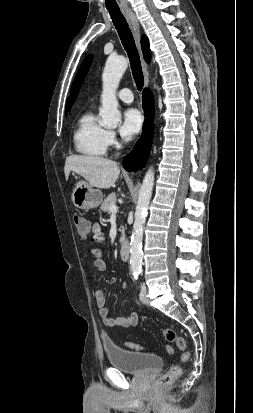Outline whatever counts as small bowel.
<instances>
[{"instance_id": "obj_1", "label": "small bowel", "mask_w": 253, "mask_h": 413, "mask_svg": "<svg viewBox=\"0 0 253 413\" xmlns=\"http://www.w3.org/2000/svg\"><path fill=\"white\" fill-rule=\"evenodd\" d=\"M92 232L96 241L101 242L103 237L98 225L92 226ZM94 260L93 266L97 271H104L106 263L104 260V254L100 249L93 250ZM125 286V284L123 285ZM94 299L99 310V314L103 320V323L110 328H129L135 326L138 323L139 315L136 312L131 313L129 316L112 318L109 316V311L106 307L104 292L101 289H97L94 293Z\"/></svg>"}]
</instances>
